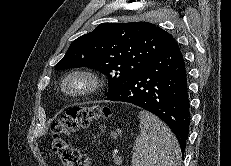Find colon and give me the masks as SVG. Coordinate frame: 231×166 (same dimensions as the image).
Wrapping results in <instances>:
<instances>
[{
  "label": "colon",
  "instance_id": "obj_1",
  "mask_svg": "<svg viewBox=\"0 0 231 166\" xmlns=\"http://www.w3.org/2000/svg\"><path fill=\"white\" fill-rule=\"evenodd\" d=\"M110 115L107 107L92 105L87 107H73L53 126L52 147L63 166H90L91 160L87 155L79 153L67 140L72 132L86 128L92 120H99Z\"/></svg>",
  "mask_w": 231,
  "mask_h": 166
}]
</instances>
